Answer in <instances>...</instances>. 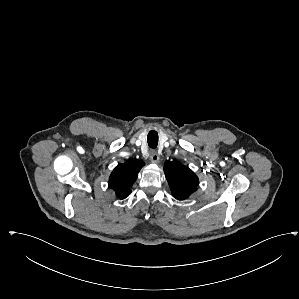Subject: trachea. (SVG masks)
I'll return each instance as SVG.
<instances>
[{
  "instance_id": "3493384b",
  "label": "trachea",
  "mask_w": 299,
  "mask_h": 299,
  "mask_svg": "<svg viewBox=\"0 0 299 299\" xmlns=\"http://www.w3.org/2000/svg\"><path fill=\"white\" fill-rule=\"evenodd\" d=\"M147 142L150 148H156L158 145V134L156 131L152 130L148 133Z\"/></svg>"
}]
</instances>
